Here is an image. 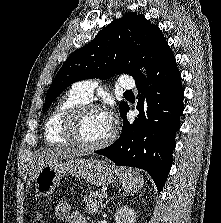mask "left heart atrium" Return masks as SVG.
<instances>
[{"instance_id": "obj_1", "label": "left heart atrium", "mask_w": 221, "mask_h": 223, "mask_svg": "<svg viewBox=\"0 0 221 223\" xmlns=\"http://www.w3.org/2000/svg\"><path fill=\"white\" fill-rule=\"evenodd\" d=\"M103 115H104L107 123L112 127L113 120H114V111H113V109H108L107 111L103 112Z\"/></svg>"}]
</instances>
